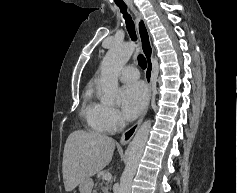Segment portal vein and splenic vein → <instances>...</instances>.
<instances>
[{"instance_id": "obj_1", "label": "portal vein and splenic vein", "mask_w": 237, "mask_h": 193, "mask_svg": "<svg viewBox=\"0 0 237 193\" xmlns=\"http://www.w3.org/2000/svg\"><path fill=\"white\" fill-rule=\"evenodd\" d=\"M111 178H112V175H111L109 172H108V173H105V174L103 175V179L106 180V181L111 180Z\"/></svg>"}]
</instances>
